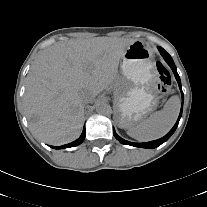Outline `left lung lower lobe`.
<instances>
[{
  "instance_id": "0a47b994",
  "label": "left lung lower lobe",
  "mask_w": 207,
  "mask_h": 207,
  "mask_svg": "<svg viewBox=\"0 0 207 207\" xmlns=\"http://www.w3.org/2000/svg\"><path fill=\"white\" fill-rule=\"evenodd\" d=\"M158 50L160 51L161 55L163 56L165 61L168 63V65L171 67V69H172V71L175 75V78L178 82L179 88L181 90L182 100H183V92H182V89H181V81H180L179 75L177 73L176 66L173 62V59L162 47H158ZM182 108H183V103H182L180 115H179L178 120H177L176 124L174 125V127L169 131L168 134H166L164 137H162L158 140L150 141V142H146V143H133V142L126 141V140L122 139L121 137H119L116 134L114 129H113V135L115 136V138L117 140L120 141V143L125 144V145H131V146L142 147V148H150V149L156 148L159 145H161L162 143H164L165 141H167L171 137V135L174 133V131L176 130V128L178 126V123H179V120H180L181 115H182Z\"/></svg>"
}]
</instances>
